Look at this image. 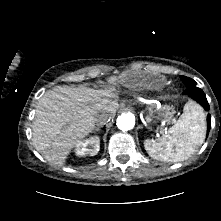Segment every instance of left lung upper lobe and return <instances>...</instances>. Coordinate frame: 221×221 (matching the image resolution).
<instances>
[{
    "label": "left lung upper lobe",
    "instance_id": "1",
    "mask_svg": "<svg viewBox=\"0 0 221 221\" xmlns=\"http://www.w3.org/2000/svg\"><path fill=\"white\" fill-rule=\"evenodd\" d=\"M181 79L186 84L187 87L196 86V82L193 79L189 78V77L181 76Z\"/></svg>",
    "mask_w": 221,
    "mask_h": 221
}]
</instances>
